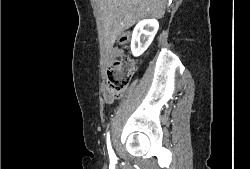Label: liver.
Here are the masks:
<instances>
[{"label":"liver","mask_w":250,"mask_h":169,"mask_svg":"<svg viewBox=\"0 0 250 169\" xmlns=\"http://www.w3.org/2000/svg\"><path fill=\"white\" fill-rule=\"evenodd\" d=\"M167 0H97L102 16V32L106 46L145 16L162 18Z\"/></svg>","instance_id":"6515ba94"}]
</instances>
